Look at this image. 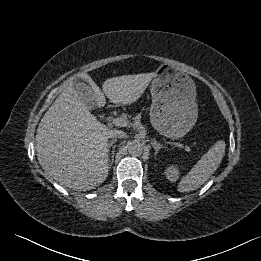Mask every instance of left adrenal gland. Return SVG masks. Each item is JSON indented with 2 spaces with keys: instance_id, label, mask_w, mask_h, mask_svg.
I'll return each mask as SVG.
<instances>
[{
  "instance_id": "left-adrenal-gland-1",
  "label": "left adrenal gland",
  "mask_w": 261,
  "mask_h": 261,
  "mask_svg": "<svg viewBox=\"0 0 261 261\" xmlns=\"http://www.w3.org/2000/svg\"><path fill=\"white\" fill-rule=\"evenodd\" d=\"M152 147L155 150V154H158V152L160 151L161 148H164L161 144L157 143L156 141H154L152 143Z\"/></svg>"
}]
</instances>
